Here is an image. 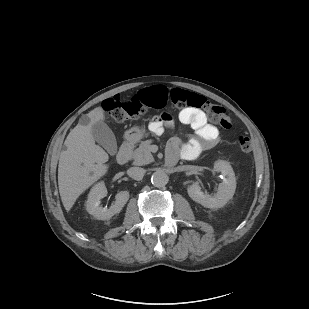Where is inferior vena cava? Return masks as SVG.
I'll list each match as a JSON object with an SVG mask.
<instances>
[{
  "mask_svg": "<svg viewBox=\"0 0 309 309\" xmlns=\"http://www.w3.org/2000/svg\"><path fill=\"white\" fill-rule=\"evenodd\" d=\"M127 173L134 180H141L145 175V169L140 167H131L128 169Z\"/></svg>",
  "mask_w": 309,
  "mask_h": 309,
  "instance_id": "1",
  "label": "inferior vena cava"
}]
</instances>
